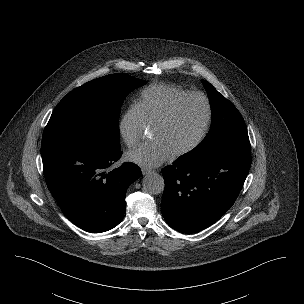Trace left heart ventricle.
Wrapping results in <instances>:
<instances>
[{
  "label": "left heart ventricle",
  "mask_w": 304,
  "mask_h": 304,
  "mask_svg": "<svg viewBox=\"0 0 304 304\" xmlns=\"http://www.w3.org/2000/svg\"><path fill=\"white\" fill-rule=\"evenodd\" d=\"M205 117L204 102L199 98L188 99L179 106L167 124L152 130V140L164 143L174 154L196 139Z\"/></svg>",
  "instance_id": "b2bd125f"
}]
</instances>
